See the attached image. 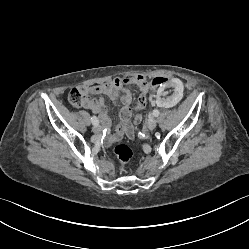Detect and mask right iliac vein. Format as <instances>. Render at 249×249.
Listing matches in <instances>:
<instances>
[{"mask_svg":"<svg viewBox=\"0 0 249 249\" xmlns=\"http://www.w3.org/2000/svg\"><path fill=\"white\" fill-rule=\"evenodd\" d=\"M92 130H93V132L94 133H100V131H101V127L99 126V125H94L93 127H92Z\"/></svg>","mask_w":249,"mask_h":249,"instance_id":"right-iliac-vein-1","label":"right iliac vein"}]
</instances>
